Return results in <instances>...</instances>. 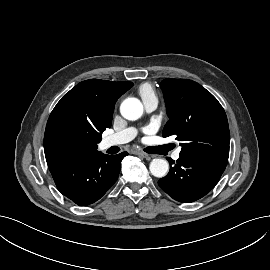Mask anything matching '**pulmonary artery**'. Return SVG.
I'll list each match as a JSON object with an SVG mask.
<instances>
[{
    "label": "pulmonary artery",
    "instance_id": "pulmonary-artery-1",
    "mask_svg": "<svg viewBox=\"0 0 270 270\" xmlns=\"http://www.w3.org/2000/svg\"><path fill=\"white\" fill-rule=\"evenodd\" d=\"M143 102H144L145 109L148 112H152L158 106L157 97L147 98ZM136 135H137V130L135 128H133V127L125 128L119 132H116V133L106 137L105 141H104V145H105V147H111L114 145L124 144V143H127V142L131 141L132 139H134L136 137ZM180 151H181V148L179 147L173 153L172 157L174 160L179 159Z\"/></svg>",
    "mask_w": 270,
    "mask_h": 270
}]
</instances>
